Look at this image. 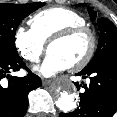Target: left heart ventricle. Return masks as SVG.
Masks as SVG:
<instances>
[{
	"instance_id": "obj_1",
	"label": "left heart ventricle",
	"mask_w": 117,
	"mask_h": 117,
	"mask_svg": "<svg viewBox=\"0 0 117 117\" xmlns=\"http://www.w3.org/2000/svg\"><path fill=\"white\" fill-rule=\"evenodd\" d=\"M88 46L89 38L86 35H79L65 42L52 45L49 53L62 58L69 66H72L84 57Z\"/></svg>"
}]
</instances>
